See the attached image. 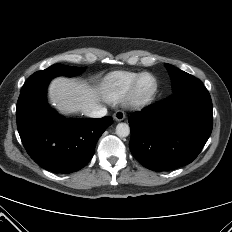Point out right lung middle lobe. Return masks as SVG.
I'll list each match as a JSON object with an SVG mask.
<instances>
[{
  "mask_svg": "<svg viewBox=\"0 0 232 232\" xmlns=\"http://www.w3.org/2000/svg\"><path fill=\"white\" fill-rule=\"evenodd\" d=\"M82 68L80 67H69L62 64H54L45 70H41L35 72L23 85L22 90L28 89L36 84H40L43 82H49L52 78L64 75V76H72L75 74L81 73Z\"/></svg>",
  "mask_w": 232,
  "mask_h": 232,
  "instance_id": "1",
  "label": "right lung middle lobe"
}]
</instances>
